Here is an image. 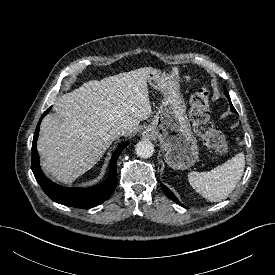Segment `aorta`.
<instances>
[{
	"mask_svg": "<svg viewBox=\"0 0 275 275\" xmlns=\"http://www.w3.org/2000/svg\"><path fill=\"white\" fill-rule=\"evenodd\" d=\"M136 154L141 158H149L154 153V145L149 140H142L136 144Z\"/></svg>",
	"mask_w": 275,
	"mask_h": 275,
	"instance_id": "1",
	"label": "aorta"
}]
</instances>
